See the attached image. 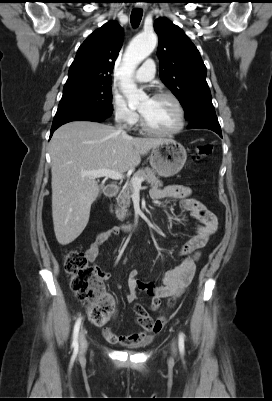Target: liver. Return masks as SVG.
<instances>
[{"label":"liver","mask_w":272,"mask_h":401,"mask_svg":"<svg viewBox=\"0 0 272 401\" xmlns=\"http://www.w3.org/2000/svg\"><path fill=\"white\" fill-rule=\"evenodd\" d=\"M164 139L134 138L115 127L90 121L62 125L51 139L52 217L61 245L73 242L86 227L91 205L99 194L94 177L82 171L133 170Z\"/></svg>","instance_id":"1"}]
</instances>
